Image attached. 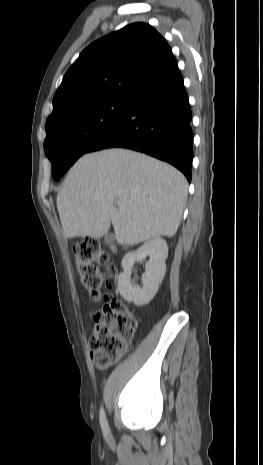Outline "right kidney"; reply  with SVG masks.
<instances>
[{"label": "right kidney", "instance_id": "ca27d5eb", "mask_svg": "<svg viewBox=\"0 0 263 465\" xmlns=\"http://www.w3.org/2000/svg\"><path fill=\"white\" fill-rule=\"evenodd\" d=\"M150 257L146 263V271L142 275L143 287L134 286L131 283V270L135 262ZM168 256V245L160 237H156L145 242L138 250L125 254L121 265L123 273L118 277V290L120 295L128 302H133L137 306L149 303L159 288L165 272V260Z\"/></svg>", "mask_w": 263, "mask_h": 465}]
</instances>
